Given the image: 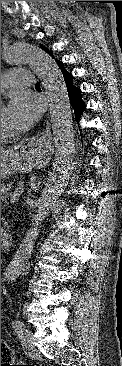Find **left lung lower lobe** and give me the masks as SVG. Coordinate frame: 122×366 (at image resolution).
<instances>
[{
  "instance_id": "1",
  "label": "left lung lower lobe",
  "mask_w": 122,
  "mask_h": 366,
  "mask_svg": "<svg viewBox=\"0 0 122 366\" xmlns=\"http://www.w3.org/2000/svg\"><path fill=\"white\" fill-rule=\"evenodd\" d=\"M57 63L63 74L69 100L74 109L75 117H78L79 115L82 114L83 110L85 109V104L82 100V94H81L82 92L79 88L73 85L72 83L73 76L71 73L67 72L64 69L63 63L61 61H57Z\"/></svg>"
}]
</instances>
